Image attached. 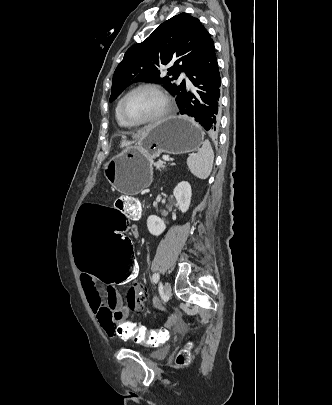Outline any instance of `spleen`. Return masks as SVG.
I'll return each instance as SVG.
<instances>
[{
    "label": "spleen",
    "mask_w": 332,
    "mask_h": 405,
    "mask_svg": "<svg viewBox=\"0 0 332 405\" xmlns=\"http://www.w3.org/2000/svg\"><path fill=\"white\" fill-rule=\"evenodd\" d=\"M213 161V149L209 140H205L198 152L188 157L187 166L195 177L204 180L209 177L212 171Z\"/></svg>",
    "instance_id": "spleen-1"
}]
</instances>
